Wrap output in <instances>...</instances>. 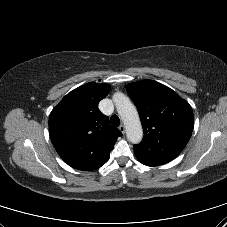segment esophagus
<instances>
[{"mask_svg": "<svg viewBox=\"0 0 227 227\" xmlns=\"http://www.w3.org/2000/svg\"><path fill=\"white\" fill-rule=\"evenodd\" d=\"M119 130L124 134L125 131H126V128H125L124 125H120V126H119Z\"/></svg>", "mask_w": 227, "mask_h": 227, "instance_id": "34e87169", "label": "esophagus"}]
</instances>
